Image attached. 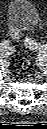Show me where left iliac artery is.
Segmentation results:
<instances>
[{
  "instance_id": "1",
  "label": "left iliac artery",
  "mask_w": 47,
  "mask_h": 129,
  "mask_svg": "<svg viewBox=\"0 0 47 129\" xmlns=\"http://www.w3.org/2000/svg\"><path fill=\"white\" fill-rule=\"evenodd\" d=\"M31 47L33 49H37V50H43V51H46L47 50V45H41V44H37L36 42L34 41H31Z\"/></svg>"
}]
</instances>
